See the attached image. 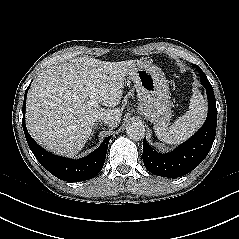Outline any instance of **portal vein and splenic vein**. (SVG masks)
Returning a JSON list of instances; mask_svg holds the SVG:
<instances>
[{"instance_id":"18ae733b","label":"portal vein and splenic vein","mask_w":239,"mask_h":239,"mask_svg":"<svg viewBox=\"0 0 239 239\" xmlns=\"http://www.w3.org/2000/svg\"><path fill=\"white\" fill-rule=\"evenodd\" d=\"M89 102L90 105L92 106H98L97 100H96V93H95V88L94 87H90L89 88Z\"/></svg>"}]
</instances>
